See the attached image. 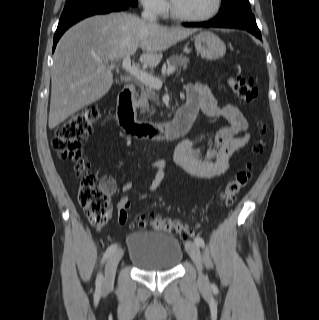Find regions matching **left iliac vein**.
I'll list each match as a JSON object with an SVG mask.
<instances>
[{
    "mask_svg": "<svg viewBox=\"0 0 319 320\" xmlns=\"http://www.w3.org/2000/svg\"><path fill=\"white\" fill-rule=\"evenodd\" d=\"M186 250L188 254L190 255L191 259L196 264V267L198 269V280L199 283L205 284L207 282L206 276L203 274V267H202V258L200 254L199 246L192 241H187L185 244Z\"/></svg>",
    "mask_w": 319,
    "mask_h": 320,
    "instance_id": "1",
    "label": "left iliac vein"
}]
</instances>
